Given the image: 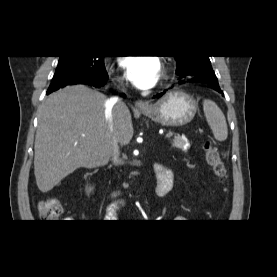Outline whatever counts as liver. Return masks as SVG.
Returning a JSON list of instances; mask_svg holds the SVG:
<instances>
[{
    "label": "liver",
    "mask_w": 277,
    "mask_h": 277,
    "mask_svg": "<svg viewBox=\"0 0 277 277\" xmlns=\"http://www.w3.org/2000/svg\"><path fill=\"white\" fill-rule=\"evenodd\" d=\"M106 97L85 85L67 86L49 95L38 110L34 174L46 193L80 167L108 163L114 140L127 145L133 136L127 106L114 107L113 132L105 119Z\"/></svg>",
    "instance_id": "6515ba94"
}]
</instances>
